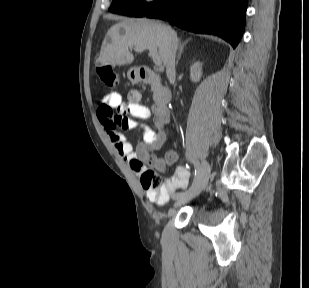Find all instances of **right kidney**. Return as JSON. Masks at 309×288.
<instances>
[{
  "mask_svg": "<svg viewBox=\"0 0 309 288\" xmlns=\"http://www.w3.org/2000/svg\"><path fill=\"white\" fill-rule=\"evenodd\" d=\"M201 76H202V64L200 62H196L190 68V78L193 82H199Z\"/></svg>",
  "mask_w": 309,
  "mask_h": 288,
  "instance_id": "1",
  "label": "right kidney"
}]
</instances>
